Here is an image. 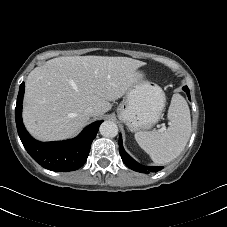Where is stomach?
I'll list each match as a JSON object with an SVG mask.
<instances>
[{
  "mask_svg": "<svg viewBox=\"0 0 227 227\" xmlns=\"http://www.w3.org/2000/svg\"><path fill=\"white\" fill-rule=\"evenodd\" d=\"M165 103L162 88L149 82L144 70L137 69L134 82L117 108V115L130 131H142L159 121Z\"/></svg>",
  "mask_w": 227,
  "mask_h": 227,
  "instance_id": "0dacf381",
  "label": "stomach"
}]
</instances>
